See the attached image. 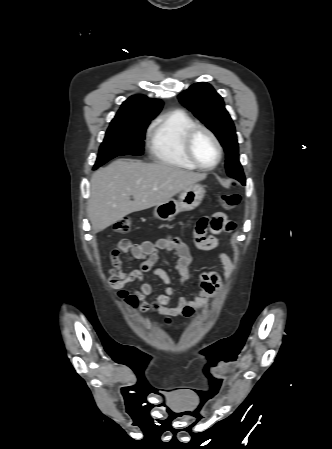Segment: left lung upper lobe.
Returning a JSON list of instances; mask_svg holds the SVG:
<instances>
[{
  "label": "left lung upper lobe",
  "instance_id": "left-lung-upper-lobe-1",
  "mask_svg": "<svg viewBox=\"0 0 332 449\" xmlns=\"http://www.w3.org/2000/svg\"><path fill=\"white\" fill-rule=\"evenodd\" d=\"M178 98L220 141L226 153L225 167L228 176L245 185L235 127L224 107L222 97L210 84L200 82L191 85Z\"/></svg>",
  "mask_w": 332,
  "mask_h": 449
}]
</instances>
